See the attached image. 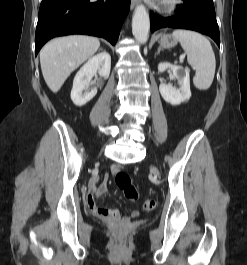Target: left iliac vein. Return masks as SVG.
Here are the masks:
<instances>
[{"instance_id": "left-iliac-vein-1", "label": "left iliac vein", "mask_w": 247, "mask_h": 265, "mask_svg": "<svg viewBox=\"0 0 247 265\" xmlns=\"http://www.w3.org/2000/svg\"><path fill=\"white\" fill-rule=\"evenodd\" d=\"M152 172L158 173L157 169L155 167H152Z\"/></svg>"}]
</instances>
